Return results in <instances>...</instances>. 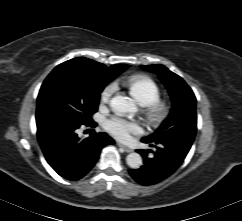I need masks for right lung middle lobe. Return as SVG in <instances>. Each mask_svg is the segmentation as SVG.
I'll use <instances>...</instances> for the list:
<instances>
[{"instance_id": "right-lung-middle-lobe-1", "label": "right lung middle lobe", "mask_w": 242, "mask_h": 221, "mask_svg": "<svg viewBox=\"0 0 242 221\" xmlns=\"http://www.w3.org/2000/svg\"><path fill=\"white\" fill-rule=\"evenodd\" d=\"M111 80L105 74L54 69L42 84L37 98V124L61 121L82 125L91 121L98 109L100 93Z\"/></svg>"}]
</instances>
